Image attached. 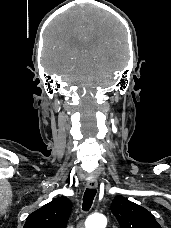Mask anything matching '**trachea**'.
I'll return each instance as SVG.
<instances>
[{
	"instance_id": "obj_1",
	"label": "trachea",
	"mask_w": 171,
	"mask_h": 228,
	"mask_svg": "<svg viewBox=\"0 0 171 228\" xmlns=\"http://www.w3.org/2000/svg\"><path fill=\"white\" fill-rule=\"evenodd\" d=\"M95 195H96V189H86L83 196V204H82V208L84 211H88L90 209Z\"/></svg>"
}]
</instances>
